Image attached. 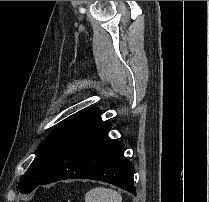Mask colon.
Returning a JSON list of instances; mask_svg holds the SVG:
<instances>
[{
    "instance_id": "colon-1",
    "label": "colon",
    "mask_w": 209,
    "mask_h": 202,
    "mask_svg": "<svg viewBox=\"0 0 209 202\" xmlns=\"http://www.w3.org/2000/svg\"><path fill=\"white\" fill-rule=\"evenodd\" d=\"M57 202H73V201L64 199V200L57 201Z\"/></svg>"
}]
</instances>
